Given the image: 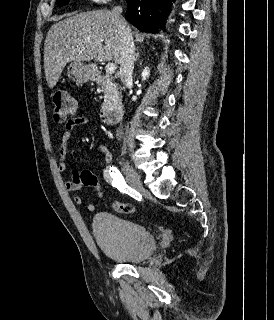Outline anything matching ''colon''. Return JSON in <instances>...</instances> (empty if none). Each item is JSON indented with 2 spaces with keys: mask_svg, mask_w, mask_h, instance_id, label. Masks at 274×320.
Listing matches in <instances>:
<instances>
[{
  "mask_svg": "<svg viewBox=\"0 0 274 320\" xmlns=\"http://www.w3.org/2000/svg\"><path fill=\"white\" fill-rule=\"evenodd\" d=\"M52 117L56 122L62 123L75 119L77 102L67 93L65 89H59L52 93ZM70 118V119H68ZM97 175H92L91 169H80L79 173L73 174V182L82 186H91L92 189L99 191L101 183L97 182ZM111 208L119 214H131L134 208L127 203L112 202Z\"/></svg>",
  "mask_w": 274,
  "mask_h": 320,
  "instance_id": "1",
  "label": "colon"
}]
</instances>
